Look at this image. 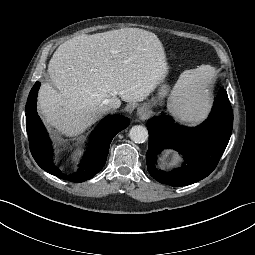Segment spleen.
<instances>
[{
	"label": "spleen",
	"mask_w": 255,
	"mask_h": 255,
	"mask_svg": "<svg viewBox=\"0 0 255 255\" xmlns=\"http://www.w3.org/2000/svg\"><path fill=\"white\" fill-rule=\"evenodd\" d=\"M215 76V68L210 65L185 70L171 93L169 113L181 123L202 122L211 106L210 86Z\"/></svg>",
	"instance_id": "spleen-1"
}]
</instances>
